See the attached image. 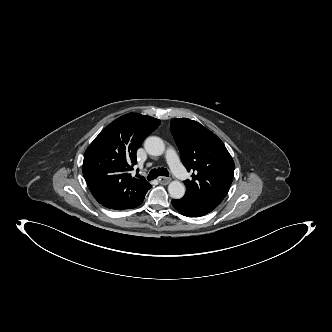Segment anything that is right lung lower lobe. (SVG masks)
Masks as SVG:
<instances>
[{"mask_svg": "<svg viewBox=\"0 0 332 332\" xmlns=\"http://www.w3.org/2000/svg\"><path fill=\"white\" fill-rule=\"evenodd\" d=\"M145 194L139 200H137L136 202H134L133 204H131L130 206H128L126 209H132V208L138 207L143 202Z\"/></svg>", "mask_w": 332, "mask_h": 332, "instance_id": "1", "label": "right lung lower lobe"}]
</instances>
